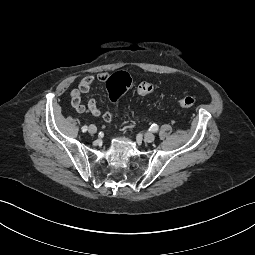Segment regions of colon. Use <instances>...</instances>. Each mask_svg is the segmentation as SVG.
Wrapping results in <instances>:
<instances>
[{
    "label": "colon",
    "instance_id": "1",
    "mask_svg": "<svg viewBox=\"0 0 255 255\" xmlns=\"http://www.w3.org/2000/svg\"><path fill=\"white\" fill-rule=\"evenodd\" d=\"M133 86L130 75L124 71H119L111 75L107 80V91L112 102L117 103L120 97ZM135 90L140 95H148L153 92L154 86L148 82H141ZM197 100L193 96H185L177 101L178 106L182 108H192Z\"/></svg>",
    "mask_w": 255,
    "mask_h": 255
}]
</instances>
